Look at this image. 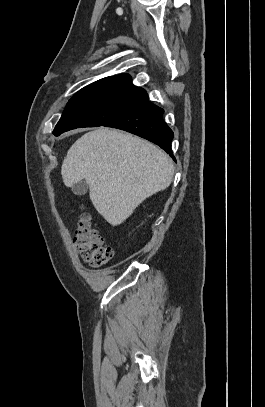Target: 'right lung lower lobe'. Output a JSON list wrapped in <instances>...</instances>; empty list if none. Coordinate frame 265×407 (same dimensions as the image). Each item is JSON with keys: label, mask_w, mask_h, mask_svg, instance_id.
<instances>
[{"label": "right lung lower lobe", "mask_w": 265, "mask_h": 407, "mask_svg": "<svg viewBox=\"0 0 265 407\" xmlns=\"http://www.w3.org/2000/svg\"><path fill=\"white\" fill-rule=\"evenodd\" d=\"M163 109L148 100L103 126L122 129L145 138L164 149L174 160L171 150L173 131L162 119Z\"/></svg>", "instance_id": "obj_1"}]
</instances>
